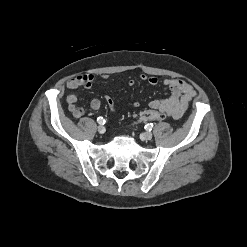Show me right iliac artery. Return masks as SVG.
I'll use <instances>...</instances> for the list:
<instances>
[{"label":"right iliac artery","mask_w":247,"mask_h":247,"mask_svg":"<svg viewBox=\"0 0 247 247\" xmlns=\"http://www.w3.org/2000/svg\"><path fill=\"white\" fill-rule=\"evenodd\" d=\"M97 122H98L100 125L105 124V120L103 119V117H98V118H97Z\"/></svg>","instance_id":"right-iliac-artery-1"}]
</instances>
